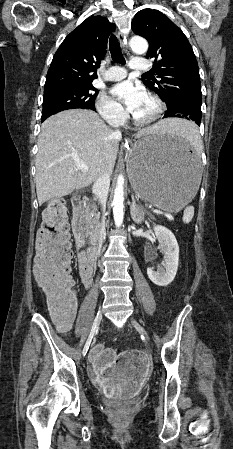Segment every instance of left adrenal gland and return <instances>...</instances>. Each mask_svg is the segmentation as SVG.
<instances>
[{
	"instance_id": "a2214340",
	"label": "left adrenal gland",
	"mask_w": 233,
	"mask_h": 449,
	"mask_svg": "<svg viewBox=\"0 0 233 449\" xmlns=\"http://www.w3.org/2000/svg\"><path fill=\"white\" fill-rule=\"evenodd\" d=\"M144 210L141 206L136 204V200L134 198V195H132V204L130 206V215L132 220L136 223V224H141L142 221L144 220Z\"/></svg>"
}]
</instances>
